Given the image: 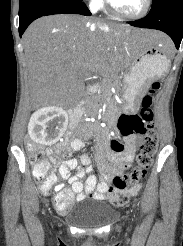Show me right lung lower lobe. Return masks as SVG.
I'll use <instances>...</instances> for the list:
<instances>
[{"label": "right lung lower lobe", "instance_id": "98d812e1", "mask_svg": "<svg viewBox=\"0 0 183 246\" xmlns=\"http://www.w3.org/2000/svg\"><path fill=\"white\" fill-rule=\"evenodd\" d=\"M53 14H81L90 16L91 13L81 0H29L20 2L19 34L20 37L35 19Z\"/></svg>", "mask_w": 183, "mask_h": 246}]
</instances>
